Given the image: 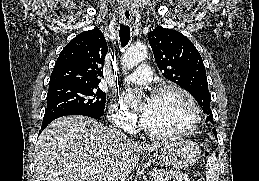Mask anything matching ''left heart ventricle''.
I'll return each mask as SVG.
<instances>
[{
    "label": "left heart ventricle",
    "mask_w": 259,
    "mask_h": 181,
    "mask_svg": "<svg viewBox=\"0 0 259 181\" xmlns=\"http://www.w3.org/2000/svg\"><path fill=\"white\" fill-rule=\"evenodd\" d=\"M142 117L152 129L178 131L191 125L193 110L181 94L167 91L142 105Z\"/></svg>",
    "instance_id": "left-heart-ventricle-1"
}]
</instances>
